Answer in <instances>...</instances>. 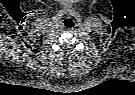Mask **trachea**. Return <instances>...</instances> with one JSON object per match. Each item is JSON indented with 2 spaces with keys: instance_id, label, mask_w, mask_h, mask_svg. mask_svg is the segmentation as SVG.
Returning a JSON list of instances; mask_svg holds the SVG:
<instances>
[{
  "instance_id": "obj_1",
  "label": "trachea",
  "mask_w": 135,
  "mask_h": 95,
  "mask_svg": "<svg viewBox=\"0 0 135 95\" xmlns=\"http://www.w3.org/2000/svg\"><path fill=\"white\" fill-rule=\"evenodd\" d=\"M64 24L66 27H73L75 23L71 19H65Z\"/></svg>"
}]
</instances>
